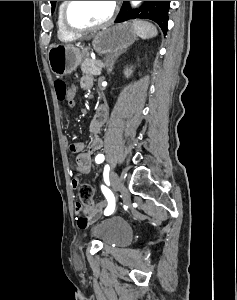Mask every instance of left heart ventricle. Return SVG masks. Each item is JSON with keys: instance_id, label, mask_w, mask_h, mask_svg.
<instances>
[{"instance_id": "obj_1", "label": "left heart ventricle", "mask_w": 237, "mask_h": 300, "mask_svg": "<svg viewBox=\"0 0 237 300\" xmlns=\"http://www.w3.org/2000/svg\"><path fill=\"white\" fill-rule=\"evenodd\" d=\"M113 1H74L69 10V22L78 28L104 22L111 14Z\"/></svg>"}]
</instances>
